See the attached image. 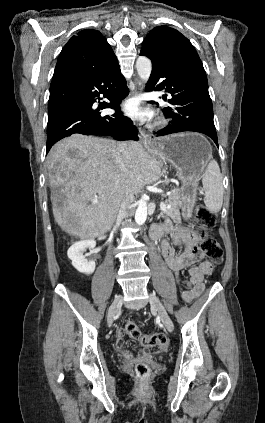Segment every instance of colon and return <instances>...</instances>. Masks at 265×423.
<instances>
[{
  "instance_id": "5ec220e1",
  "label": "colon",
  "mask_w": 265,
  "mask_h": 423,
  "mask_svg": "<svg viewBox=\"0 0 265 423\" xmlns=\"http://www.w3.org/2000/svg\"><path fill=\"white\" fill-rule=\"evenodd\" d=\"M197 233L201 239V249L205 256L214 264H221L223 261V250L219 242L206 236V231L214 227L216 215L205 207L199 206L197 209ZM125 330L129 336L147 348L164 350L168 345L167 337L162 333L146 334L142 332L134 321H128ZM136 376L143 380L149 377L150 369L145 363H138L135 366Z\"/></svg>"
}]
</instances>
